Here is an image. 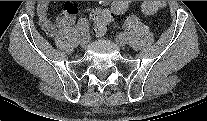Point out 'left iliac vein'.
I'll return each instance as SVG.
<instances>
[{
  "label": "left iliac vein",
  "instance_id": "left-iliac-vein-1",
  "mask_svg": "<svg viewBox=\"0 0 207 121\" xmlns=\"http://www.w3.org/2000/svg\"><path fill=\"white\" fill-rule=\"evenodd\" d=\"M115 42L119 45V46H125L127 39L125 37V35L123 34H118L115 36Z\"/></svg>",
  "mask_w": 207,
  "mask_h": 121
}]
</instances>
